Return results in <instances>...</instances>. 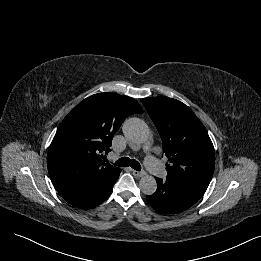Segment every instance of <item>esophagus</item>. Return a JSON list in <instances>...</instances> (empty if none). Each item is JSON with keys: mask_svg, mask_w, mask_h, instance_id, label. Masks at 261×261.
<instances>
[{"mask_svg": "<svg viewBox=\"0 0 261 261\" xmlns=\"http://www.w3.org/2000/svg\"><path fill=\"white\" fill-rule=\"evenodd\" d=\"M132 173L136 177H142V176H144L146 174L145 171H137V170H132Z\"/></svg>", "mask_w": 261, "mask_h": 261, "instance_id": "esophagus-1", "label": "esophagus"}]
</instances>
